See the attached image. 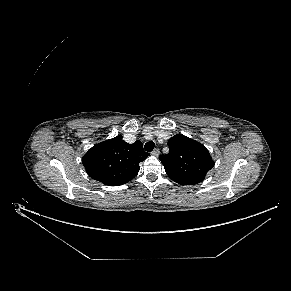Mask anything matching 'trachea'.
Masks as SVG:
<instances>
[{
	"mask_svg": "<svg viewBox=\"0 0 291 291\" xmlns=\"http://www.w3.org/2000/svg\"><path fill=\"white\" fill-rule=\"evenodd\" d=\"M155 147V143L153 141H149L144 145V149L147 152H151Z\"/></svg>",
	"mask_w": 291,
	"mask_h": 291,
	"instance_id": "trachea-1",
	"label": "trachea"
}]
</instances>
